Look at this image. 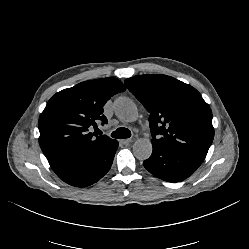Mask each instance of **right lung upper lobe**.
Returning <instances> with one entry per match:
<instances>
[{"label":"right lung upper lobe","instance_id":"obj_1","mask_svg":"<svg viewBox=\"0 0 249 249\" xmlns=\"http://www.w3.org/2000/svg\"><path fill=\"white\" fill-rule=\"evenodd\" d=\"M116 78L85 81L56 93L39 117V144L51 168L60 174L87 160L114 139L94 137L90 126L107 123L103 106L125 91Z\"/></svg>","mask_w":249,"mask_h":249}]
</instances>
